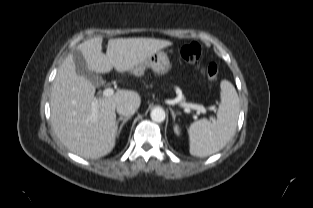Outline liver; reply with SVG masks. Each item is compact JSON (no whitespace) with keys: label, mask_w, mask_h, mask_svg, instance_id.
I'll list each match as a JSON object with an SVG mask.
<instances>
[{"label":"liver","mask_w":313,"mask_h":208,"mask_svg":"<svg viewBox=\"0 0 313 208\" xmlns=\"http://www.w3.org/2000/svg\"><path fill=\"white\" fill-rule=\"evenodd\" d=\"M102 37H94L78 45L90 71L118 73L131 71L155 52L171 46L168 40L153 38H117L108 41L102 52ZM94 84L76 71L73 55L69 54L53 81L50 107L55 134L71 152L98 159L109 154L114 146L118 127L115 109L129 102L139 108L140 95L131 90H119L110 97H95Z\"/></svg>","instance_id":"1"}]
</instances>
